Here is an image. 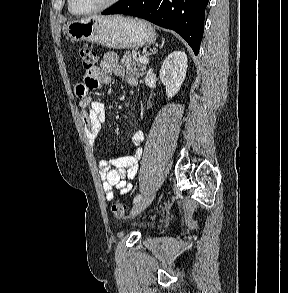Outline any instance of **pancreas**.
<instances>
[{"instance_id":"cf45deb5","label":"pancreas","mask_w":288,"mask_h":293,"mask_svg":"<svg viewBox=\"0 0 288 293\" xmlns=\"http://www.w3.org/2000/svg\"><path fill=\"white\" fill-rule=\"evenodd\" d=\"M121 63L126 69L138 77L143 76L146 70V64L140 63L135 51H126L121 59Z\"/></svg>"}]
</instances>
